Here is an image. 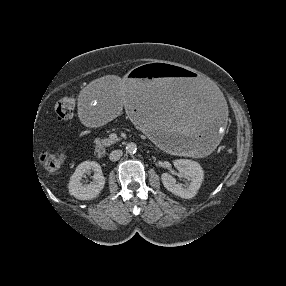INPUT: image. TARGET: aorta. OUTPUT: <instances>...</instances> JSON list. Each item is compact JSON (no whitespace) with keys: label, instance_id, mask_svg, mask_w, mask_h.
<instances>
[{"label":"aorta","instance_id":"aorta-1","mask_svg":"<svg viewBox=\"0 0 286 286\" xmlns=\"http://www.w3.org/2000/svg\"><path fill=\"white\" fill-rule=\"evenodd\" d=\"M125 149H126V152H127V153L132 154V153H135V152H136L137 146H136L135 143L130 142V143H127V144H126Z\"/></svg>","mask_w":286,"mask_h":286}]
</instances>
